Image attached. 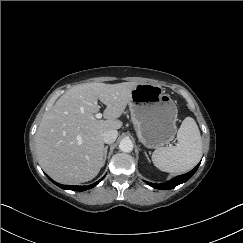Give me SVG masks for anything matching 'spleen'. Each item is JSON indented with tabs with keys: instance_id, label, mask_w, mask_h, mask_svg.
Instances as JSON below:
<instances>
[{
	"instance_id": "obj_1",
	"label": "spleen",
	"mask_w": 243,
	"mask_h": 243,
	"mask_svg": "<svg viewBox=\"0 0 243 243\" xmlns=\"http://www.w3.org/2000/svg\"><path fill=\"white\" fill-rule=\"evenodd\" d=\"M178 144L157 148L152 154L154 165L164 172L185 173L191 170L202 155V141L198 126L191 117H186L178 132Z\"/></svg>"
}]
</instances>
